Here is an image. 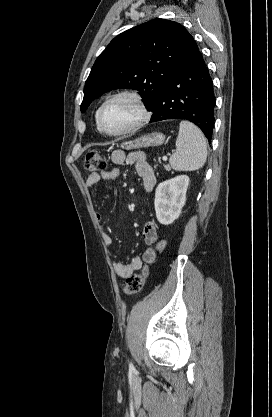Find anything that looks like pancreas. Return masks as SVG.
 <instances>
[{
  "mask_svg": "<svg viewBox=\"0 0 272 417\" xmlns=\"http://www.w3.org/2000/svg\"><path fill=\"white\" fill-rule=\"evenodd\" d=\"M166 170H170V167L168 165H164Z\"/></svg>",
  "mask_w": 272,
  "mask_h": 417,
  "instance_id": "cf45deb5",
  "label": "pancreas"
}]
</instances>
